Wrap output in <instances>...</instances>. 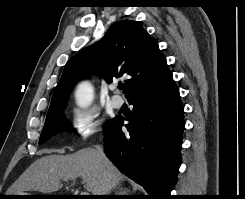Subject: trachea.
<instances>
[{
	"label": "trachea",
	"mask_w": 245,
	"mask_h": 199,
	"mask_svg": "<svg viewBox=\"0 0 245 199\" xmlns=\"http://www.w3.org/2000/svg\"><path fill=\"white\" fill-rule=\"evenodd\" d=\"M123 87H124V85H122V84H120V85L118 86V88H119L120 90H122Z\"/></svg>",
	"instance_id": "1"
}]
</instances>
